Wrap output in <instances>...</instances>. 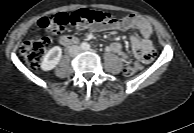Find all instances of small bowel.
<instances>
[{
	"label": "small bowel",
	"instance_id": "1",
	"mask_svg": "<svg viewBox=\"0 0 194 133\" xmlns=\"http://www.w3.org/2000/svg\"><path fill=\"white\" fill-rule=\"evenodd\" d=\"M93 31H134L137 30L141 34L139 38L136 34H132L130 37L131 46L133 52L137 58L134 65L141 62V54L154 55V46L150 39L152 35L151 24L143 17L135 14H130L120 20H114L113 22L105 25L93 26ZM110 50L119 55L123 61H128V55L124 52L121 44L112 43Z\"/></svg>",
	"mask_w": 194,
	"mask_h": 133
}]
</instances>
